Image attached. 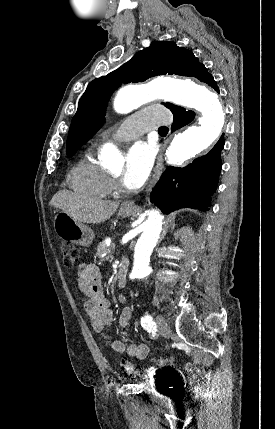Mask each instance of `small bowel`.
Listing matches in <instances>:
<instances>
[{
  "label": "small bowel",
  "instance_id": "small-bowel-1",
  "mask_svg": "<svg viewBox=\"0 0 275 429\" xmlns=\"http://www.w3.org/2000/svg\"><path fill=\"white\" fill-rule=\"evenodd\" d=\"M76 286L82 295V304L89 322L96 332H103L112 324V311L101 284V272L94 264H81L77 270ZM121 300H124L121 298ZM133 316L130 306H125L119 314V326L126 328ZM116 353H126L129 358L143 360L148 356L149 348L144 343L126 345L125 340L117 339L111 343Z\"/></svg>",
  "mask_w": 275,
  "mask_h": 429
}]
</instances>
